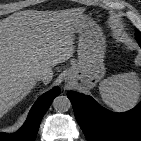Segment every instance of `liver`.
I'll return each mask as SVG.
<instances>
[{
  "label": "liver",
  "instance_id": "1",
  "mask_svg": "<svg viewBox=\"0 0 141 141\" xmlns=\"http://www.w3.org/2000/svg\"><path fill=\"white\" fill-rule=\"evenodd\" d=\"M83 11L25 10L0 20V118L31 92L34 73L52 79V67L72 57Z\"/></svg>",
  "mask_w": 141,
  "mask_h": 141
}]
</instances>
